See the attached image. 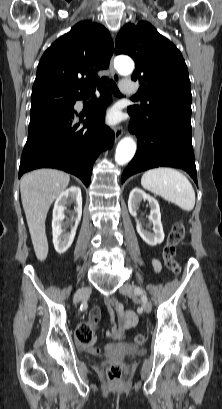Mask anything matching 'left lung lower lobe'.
Masks as SVG:
<instances>
[{
  "mask_svg": "<svg viewBox=\"0 0 222 409\" xmlns=\"http://www.w3.org/2000/svg\"><path fill=\"white\" fill-rule=\"evenodd\" d=\"M128 112L131 115L129 130L137 136L138 149L122 174L121 182L138 172L166 166L185 170L197 184L191 117L174 109L147 115Z\"/></svg>",
  "mask_w": 222,
  "mask_h": 409,
  "instance_id": "1",
  "label": "left lung lower lobe"
}]
</instances>
